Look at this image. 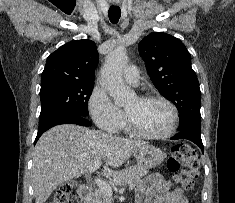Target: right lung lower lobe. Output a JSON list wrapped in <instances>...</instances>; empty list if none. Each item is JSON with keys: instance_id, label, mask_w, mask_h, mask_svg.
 I'll use <instances>...</instances> for the list:
<instances>
[{"instance_id": "1", "label": "right lung lower lobe", "mask_w": 235, "mask_h": 203, "mask_svg": "<svg viewBox=\"0 0 235 203\" xmlns=\"http://www.w3.org/2000/svg\"><path fill=\"white\" fill-rule=\"evenodd\" d=\"M59 124H77L81 126H91L92 123L86 119V117L74 115V114H57L50 116L46 119L39 120V128L37 137L35 139L34 144L38 141L39 137L48 129L59 125Z\"/></svg>"}]
</instances>
